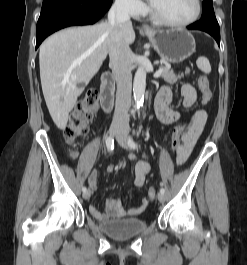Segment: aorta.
<instances>
[{
    "label": "aorta",
    "instance_id": "1",
    "mask_svg": "<svg viewBox=\"0 0 247 265\" xmlns=\"http://www.w3.org/2000/svg\"><path fill=\"white\" fill-rule=\"evenodd\" d=\"M146 87V71L143 67H139L134 76L133 93L137 107H140L144 101V93Z\"/></svg>",
    "mask_w": 247,
    "mask_h": 265
}]
</instances>
